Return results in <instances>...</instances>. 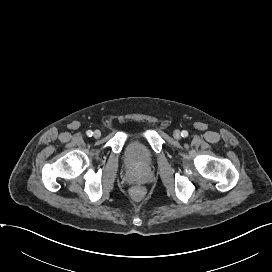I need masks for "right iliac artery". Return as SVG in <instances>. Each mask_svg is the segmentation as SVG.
<instances>
[{"label": "right iliac artery", "mask_w": 272, "mask_h": 272, "mask_svg": "<svg viewBox=\"0 0 272 272\" xmlns=\"http://www.w3.org/2000/svg\"><path fill=\"white\" fill-rule=\"evenodd\" d=\"M86 134H87V136L91 137V136L93 135V132H92L91 130H88V131L86 132Z\"/></svg>", "instance_id": "82829eb1"}]
</instances>
